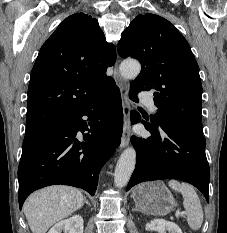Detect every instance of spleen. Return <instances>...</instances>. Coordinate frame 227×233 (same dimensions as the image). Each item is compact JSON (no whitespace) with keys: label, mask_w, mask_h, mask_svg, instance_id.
Wrapping results in <instances>:
<instances>
[{"label":"spleen","mask_w":227,"mask_h":233,"mask_svg":"<svg viewBox=\"0 0 227 233\" xmlns=\"http://www.w3.org/2000/svg\"><path fill=\"white\" fill-rule=\"evenodd\" d=\"M168 185L182 194L189 227L194 231L199 230L203 223V210L194 188L187 183H180L177 180H170Z\"/></svg>","instance_id":"1"}]
</instances>
